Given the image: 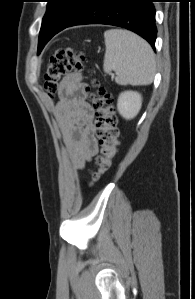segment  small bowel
Here are the masks:
<instances>
[{
  "mask_svg": "<svg viewBox=\"0 0 195 299\" xmlns=\"http://www.w3.org/2000/svg\"><path fill=\"white\" fill-rule=\"evenodd\" d=\"M58 113L65 143L73 165L82 169L95 155L99 146L94 123L95 111L86 99L81 75L69 73L60 83Z\"/></svg>",
  "mask_w": 195,
  "mask_h": 299,
  "instance_id": "1",
  "label": "small bowel"
}]
</instances>
